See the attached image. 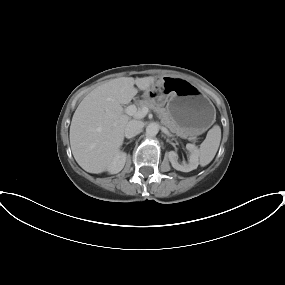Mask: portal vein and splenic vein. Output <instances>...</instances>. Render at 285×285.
<instances>
[{
  "label": "portal vein and splenic vein",
  "mask_w": 285,
  "mask_h": 285,
  "mask_svg": "<svg viewBox=\"0 0 285 285\" xmlns=\"http://www.w3.org/2000/svg\"><path fill=\"white\" fill-rule=\"evenodd\" d=\"M149 112V109L147 107H143L141 109H137L135 105H130L125 109V113L129 116H133L135 118H144L147 113Z\"/></svg>",
  "instance_id": "obj_1"
}]
</instances>
